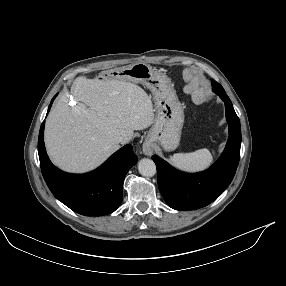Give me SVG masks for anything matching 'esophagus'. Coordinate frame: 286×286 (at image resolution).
<instances>
[{
    "label": "esophagus",
    "mask_w": 286,
    "mask_h": 286,
    "mask_svg": "<svg viewBox=\"0 0 286 286\" xmlns=\"http://www.w3.org/2000/svg\"><path fill=\"white\" fill-rule=\"evenodd\" d=\"M142 150L146 156H151L153 154L152 146L149 143H144L142 146Z\"/></svg>",
    "instance_id": "34e87169"
}]
</instances>
